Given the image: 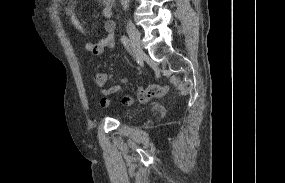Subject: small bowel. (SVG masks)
Instances as JSON below:
<instances>
[{
  "label": "small bowel",
  "mask_w": 285,
  "mask_h": 183,
  "mask_svg": "<svg viewBox=\"0 0 285 183\" xmlns=\"http://www.w3.org/2000/svg\"><path fill=\"white\" fill-rule=\"evenodd\" d=\"M102 5V15L105 18L104 22V30H105V36L99 40L98 42H88L85 45L86 51L91 56H97L103 53L106 49H114L116 46L115 43V22L112 20L113 15V0H100ZM64 13L70 18V22L73 25V27L79 31L82 34H86L87 31L83 24L79 21L77 16L74 13V7L71 3L67 4L64 8ZM92 81L93 83L99 88V92L102 96L100 104L102 106H108L111 103L110 96L116 94L120 90L119 85H113L110 87H106L105 84L107 82V74L104 72H96L92 75ZM125 81V80H123ZM169 87L164 85H151L147 88L140 87L138 89V98L141 101H147L153 97H161L168 93ZM129 97L133 100L130 96ZM132 103L126 104L130 105Z\"/></svg>",
  "instance_id": "c3829d8e"
}]
</instances>
